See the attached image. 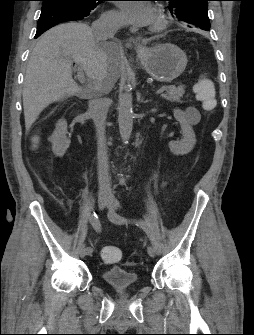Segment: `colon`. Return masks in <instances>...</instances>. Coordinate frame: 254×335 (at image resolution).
Wrapping results in <instances>:
<instances>
[{
	"label": "colon",
	"mask_w": 254,
	"mask_h": 335,
	"mask_svg": "<svg viewBox=\"0 0 254 335\" xmlns=\"http://www.w3.org/2000/svg\"><path fill=\"white\" fill-rule=\"evenodd\" d=\"M194 92L203 109L211 112L216 108L215 86L211 79L200 76L193 86ZM35 150L39 149L38 145L34 146ZM33 164L37 163L36 159L32 160ZM102 259L106 263H115L121 259V251L115 246H106L101 250Z\"/></svg>",
	"instance_id": "5ec220e1"
}]
</instances>
